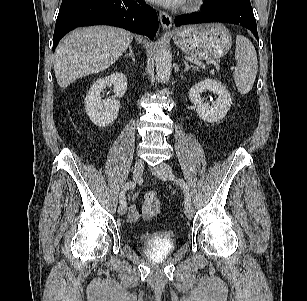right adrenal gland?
Here are the masks:
<instances>
[{
    "label": "right adrenal gland",
    "mask_w": 307,
    "mask_h": 301,
    "mask_svg": "<svg viewBox=\"0 0 307 301\" xmlns=\"http://www.w3.org/2000/svg\"><path fill=\"white\" fill-rule=\"evenodd\" d=\"M125 57H130L132 59V61L135 62V56H134L133 50L131 48V45L129 46V53L125 54Z\"/></svg>",
    "instance_id": "right-adrenal-gland-1"
}]
</instances>
